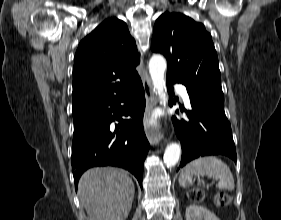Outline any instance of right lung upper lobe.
I'll return each instance as SVG.
<instances>
[{"mask_svg":"<svg viewBox=\"0 0 281 220\" xmlns=\"http://www.w3.org/2000/svg\"><path fill=\"white\" fill-rule=\"evenodd\" d=\"M135 40L127 25L110 18L79 44L73 68V116L132 88L140 77Z\"/></svg>","mask_w":281,"mask_h":220,"instance_id":"1","label":"right lung upper lobe"}]
</instances>
